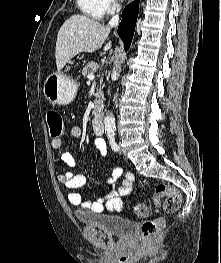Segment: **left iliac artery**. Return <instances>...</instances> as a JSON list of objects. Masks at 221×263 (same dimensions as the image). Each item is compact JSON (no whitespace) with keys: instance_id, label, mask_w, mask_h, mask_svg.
Wrapping results in <instances>:
<instances>
[{"instance_id":"44dca946","label":"left iliac artery","mask_w":221,"mask_h":263,"mask_svg":"<svg viewBox=\"0 0 221 263\" xmlns=\"http://www.w3.org/2000/svg\"><path fill=\"white\" fill-rule=\"evenodd\" d=\"M108 138H109V143L111 145V148L114 151H118L119 150V146L117 145V143L115 141V134H113V133L108 134Z\"/></svg>"}]
</instances>
